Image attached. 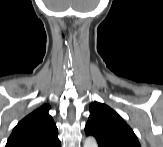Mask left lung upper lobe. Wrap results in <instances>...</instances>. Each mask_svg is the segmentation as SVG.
Returning a JSON list of instances; mask_svg holds the SVG:
<instances>
[{
	"mask_svg": "<svg viewBox=\"0 0 163 147\" xmlns=\"http://www.w3.org/2000/svg\"><path fill=\"white\" fill-rule=\"evenodd\" d=\"M85 133L94 136L99 147H141L133 130L121 116L99 102L90 105Z\"/></svg>",
	"mask_w": 163,
	"mask_h": 147,
	"instance_id": "left-lung-upper-lobe-1",
	"label": "left lung upper lobe"
}]
</instances>
